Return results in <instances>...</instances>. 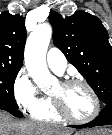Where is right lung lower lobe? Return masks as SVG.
Instances as JSON below:
<instances>
[{"mask_svg": "<svg viewBox=\"0 0 112 135\" xmlns=\"http://www.w3.org/2000/svg\"><path fill=\"white\" fill-rule=\"evenodd\" d=\"M0 109L5 110L16 117L23 116L22 113L18 110V108H12V107H8V106H0Z\"/></svg>", "mask_w": 112, "mask_h": 135, "instance_id": "right-lung-lower-lobe-1", "label": "right lung lower lobe"}]
</instances>
